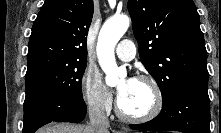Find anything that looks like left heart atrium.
Here are the masks:
<instances>
[{"instance_id": "left-heart-atrium-1", "label": "left heart atrium", "mask_w": 221, "mask_h": 133, "mask_svg": "<svg viewBox=\"0 0 221 133\" xmlns=\"http://www.w3.org/2000/svg\"><path fill=\"white\" fill-rule=\"evenodd\" d=\"M135 80L136 79L134 78H128L126 80L125 85L118 89L117 93H118L119 98L122 97L127 92V90L133 85Z\"/></svg>"}]
</instances>
